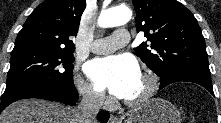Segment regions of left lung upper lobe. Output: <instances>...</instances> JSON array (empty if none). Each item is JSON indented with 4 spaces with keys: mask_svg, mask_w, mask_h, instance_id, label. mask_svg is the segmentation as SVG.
I'll list each match as a JSON object with an SVG mask.
<instances>
[{
    "mask_svg": "<svg viewBox=\"0 0 221 123\" xmlns=\"http://www.w3.org/2000/svg\"><path fill=\"white\" fill-rule=\"evenodd\" d=\"M137 32L150 41L134 53L160 78L195 69L210 73L205 40L196 18L176 0H132Z\"/></svg>",
    "mask_w": 221,
    "mask_h": 123,
    "instance_id": "obj_1",
    "label": "left lung upper lobe"
}]
</instances>
